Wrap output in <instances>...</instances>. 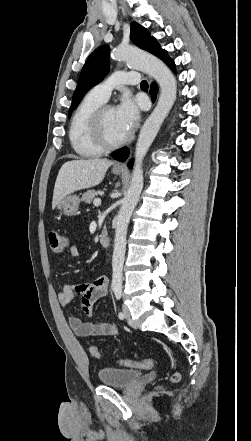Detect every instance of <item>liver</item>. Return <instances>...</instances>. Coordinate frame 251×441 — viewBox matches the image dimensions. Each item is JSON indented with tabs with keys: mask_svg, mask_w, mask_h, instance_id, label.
I'll return each instance as SVG.
<instances>
[{
	"mask_svg": "<svg viewBox=\"0 0 251 441\" xmlns=\"http://www.w3.org/2000/svg\"><path fill=\"white\" fill-rule=\"evenodd\" d=\"M112 164L110 160L98 158L65 162L56 178L52 208L54 209L65 196L98 185Z\"/></svg>",
	"mask_w": 251,
	"mask_h": 441,
	"instance_id": "liver-1",
	"label": "liver"
}]
</instances>
